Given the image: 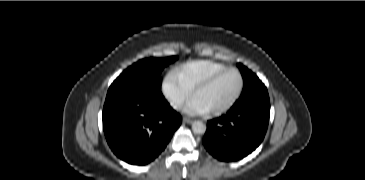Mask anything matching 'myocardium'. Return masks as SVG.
Returning <instances> with one entry per match:
<instances>
[{
	"label": "myocardium",
	"mask_w": 365,
	"mask_h": 180,
	"mask_svg": "<svg viewBox=\"0 0 365 180\" xmlns=\"http://www.w3.org/2000/svg\"><path fill=\"white\" fill-rule=\"evenodd\" d=\"M236 72L239 76L240 79V84L238 87V90L236 92V94L234 95V97L225 105L209 110L207 111L208 114L210 115H221L227 111H229L230 109H232L235 104L238 102V100L240 99L243 90H244V86H245V79L244 76L242 74V72L236 68V67H227L219 72H217L216 74H214L213 76H211L210 78H208L206 81H204L203 83H201L199 86H197L191 93V97L192 99L195 98V96L202 90L206 89L207 87H209L212 83H214L218 78H220L221 76H223L224 74H226L227 72Z\"/></svg>",
	"instance_id": "myocardium-1"
}]
</instances>
